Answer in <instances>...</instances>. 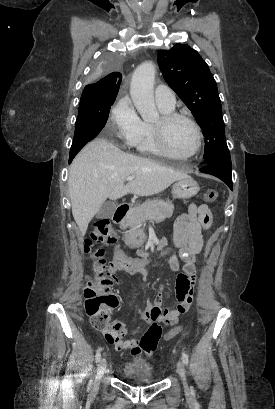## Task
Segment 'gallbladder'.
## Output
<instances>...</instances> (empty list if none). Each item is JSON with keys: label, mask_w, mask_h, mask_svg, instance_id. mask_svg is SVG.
I'll return each instance as SVG.
<instances>
[{"label": "gallbladder", "mask_w": 275, "mask_h": 409, "mask_svg": "<svg viewBox=\"0 0 275 409\" xmlns=\"http://www.w3.org/2000/svg\"><path fill=\"white\" fill-rule=\"evenodd\" d=\"M116 202H112V200H107V202H103V205L97 213V219H111L112 215H114L116 211Z\"/></svg>", "instance_id": "bac80fb5"}]
</instances>
